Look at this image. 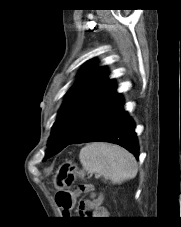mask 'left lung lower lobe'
Here are the masks:
<instances>
[{"instance_id":"0a47b994","label":"left lung lower lobe","mask_w":181,"mask_h":227,"mask_svg":"<svg viewBox=\"0 0 181 227\" xmlns=\"http://www.w3.org/2000/svg\"><path fill=\"white\" fill-rule=\"evenodd\" d=\"M104 141L118 144L139 158V145L132 119L116 91L92 114L81 133L70 143Z\"/></svg>"}]
</instances>
